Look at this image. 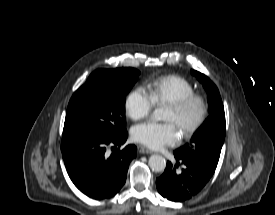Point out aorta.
Wrapping results in <instances>:
<instances>
[{"label": "aorta", "mask_w": 275, "mask_h": 215, "mask_svg": "<svg viewBox=\"0 0 275 215\" xmlns=\"http://www.w3.org/2000/svg\"><path fill=\"white\" fill-rule=\"evenodd\" d=\"M165 114L162 108H156L153 111V119L155 121L164 120ZM149 166L153 171L162 172L166 168V160L160 155H151L149 158Z\"/></svg>", "instance_id": "obj_1"}]
</instances>
